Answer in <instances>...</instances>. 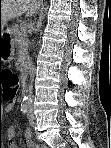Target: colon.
<instances>
[{"mask_svg":"<svg viewBox=\"0 0 111 148\" xmlns=\"http://www.w3.org/2000/svg\"><path fill=\"white\" fill-rule=\"evenodd\" d=\"M18 77L8 69L0 71V86L6 100L15 101L18 94ZM39 148V147H37Z\"/></svg>","mask_w":111,"mask_h":148,"instance_id":"5ec220e1","label":"colon"}]
</instances>
